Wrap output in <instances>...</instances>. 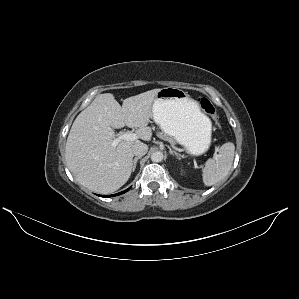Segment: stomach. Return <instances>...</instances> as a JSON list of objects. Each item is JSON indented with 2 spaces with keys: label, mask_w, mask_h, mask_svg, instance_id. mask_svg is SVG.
I'll list each match as a JSON object with an SVG mask.
<instances>
[{
  "label": "stomach",
  "mask_w": 299,
  "mask_h": 299,
  "mask_svg": "<svg viewBox=\"0 0 299 299\" xmlns=\"http://www.w3.org/2000/svg\"><path fill=\"white\" fill-rule=\"evenodd\" d=\"M152 118L164 134L172 137L189 154L200 155L208 150L211 143V120L182 89H160L153 101Z\"/></svg>",
  "instance_id": "1"
}]
</instances>
